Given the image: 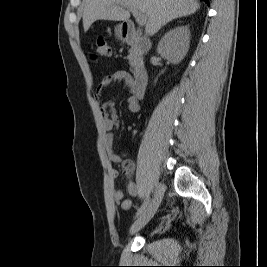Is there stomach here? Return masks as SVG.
Returning <instances> with one entry per match:
<instances>
[{"label":"stomach","instance_id":"0dacf381","mask_svg":"<svg viewBox=\"0 0 267 267\" xmlns=\"http://www.w3.org/2000/svg\"><path fill=\"white\" fill-rule=\"evenodd\" d=\"M115 33H116V35H117L118 37H122V35H123V25H122V24L117 25V26L115 27Z\"/></svg>","mask_w":267,"mask_h":267}]
</instances>
